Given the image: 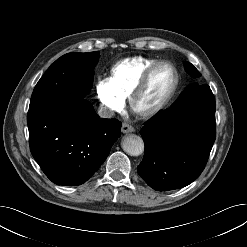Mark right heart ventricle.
<instances>
[{
    "label": "right heart ventricle",
    "instance_id": "1",
    "mask_svg": "<svg viewBox=\"0 0 247 247\" xmlns=\"http://www.w3.org/2000/svg\"><path fill=\"white\" fill-rule=\"evenodd\" d=\"M157 61L143 56L125 58L112 67L109 80L114 89L127 98L143 72Z\"/></svg>",
    "mask_w": 247,
    "mask_h": 247
}]
</instances>
